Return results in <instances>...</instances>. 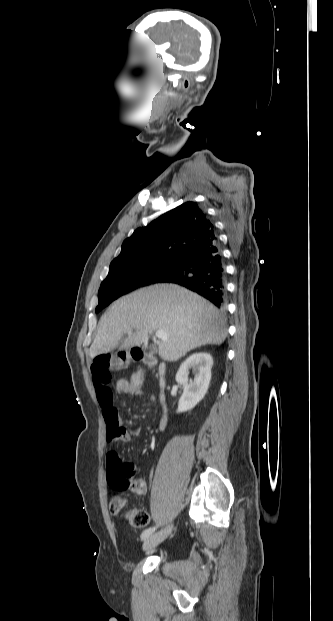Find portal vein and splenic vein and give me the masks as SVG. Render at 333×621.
<instances>
[{
  "label": "portal vein and splenic vein",
  "mask_w": 333,
  "mask_h": 621,
  "mask_svg": "<svg viewBox=\"0 0 333 621\" xmlns=\"http://www.w3.org/2000/svg\"><path fill=\"white\" fill-rule=\"evenodd\" d=\"M131 332H132V331H131V330H129V333H131ZM155 336H156L157 338H159V339H163V340H166V339H167V335L165 334V332H164L162 329L157 330V331H156V333H155Z\"/></svg>",
  "instance_id": "portal-vein-and-splenic-vein-1"
}]
</instances>
